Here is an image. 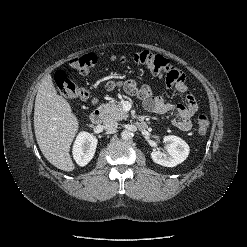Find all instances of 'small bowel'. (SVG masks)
<instances>
[{
	"label": "small bowel",
	"instance_id": "obj_1",
	"mask_svg": "<svg viewBox=\"0 0 247 247\" xmlns=\"http://www.w3.org/2000/svg\"><path fill=\"white\" fill-rule=\"evenodd\" d=\"M174 86L178 92L187 95L188 103L186 105L169 104L161 95L155 94L149 85H138V83L132 79L126 81H110L107 84L108 89L122 87L127 94L137 97L142 102L144 108L149 112L156 114L173 113L175 115V125L181 131L188 132L192 128L191 120L198 110V104L196 98L188 90L184 78L175 82Z\"/></svg>",
	"mask_w": 247,
	"mask_h": 247
}]
</instances>
